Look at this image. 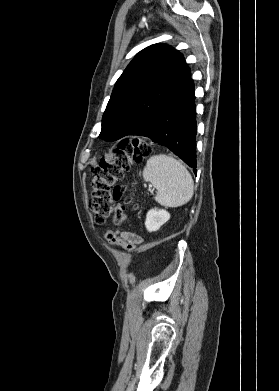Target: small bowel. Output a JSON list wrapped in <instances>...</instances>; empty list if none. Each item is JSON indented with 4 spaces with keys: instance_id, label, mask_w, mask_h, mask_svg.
Segmentation results:
<instances>
[{
    "instance_id": "c3829d8e",
    "label": "small bowel",
    "mask_w": 279,
    "mask_h": 391,
    "mask_svg": "<svg viewBox=\"0 0 279 391\" xmlns=\"http://www.w3.org/2000/svg\"><path fill=\"white\" fill-rule=\"evenodd\" d=\"M113 233H115L117 236H119V237H121L123 239H126V240L134 243L135 245L141 244L143 242V239L138 234L133 233V232L116 231V232H113Z\"/></svg>"
}]
</instances>
